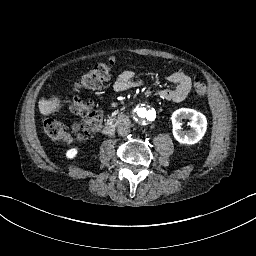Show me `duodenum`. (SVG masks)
<instances>
[{
  "label": "duodenum",
  "instance_id": "duodenum-1",
  "mask_svg": "<svg viewBox=\"0 0 256 256\" xmlns=\"http://www.w3.org/2000/svg\"><path fill=\"white\" fill-rule=\"evenodd\" d=\"M128 119L125 116L120 117V119H114L110 123L106 124L102 129V134L104 136H111L113 135L115 129L119 125H125L127 124Z\"/></svg>",
  "mask_w": 256,
  "mask_h": 256
}]
</instances>
